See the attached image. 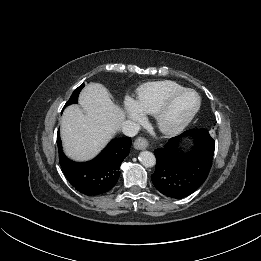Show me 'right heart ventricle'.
<instances>
[{
	"instance_id": "1",
	"label": "right heart ventricle",
	"mask_w": 261,
	"mask_h": 261,
	"mask_svg": "<svg viewBox=\"0 0 261 261\" xmlns=\"http://www.w3.org/2000/svg\"><path fill=\"white\" fill-rule=\"evenodd\" d=\"M183 88L170 80L146 83L137 90L136 106L143 114L155 115L171 94Z\"/></svg>"
}]
</instances>
